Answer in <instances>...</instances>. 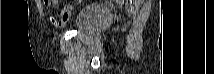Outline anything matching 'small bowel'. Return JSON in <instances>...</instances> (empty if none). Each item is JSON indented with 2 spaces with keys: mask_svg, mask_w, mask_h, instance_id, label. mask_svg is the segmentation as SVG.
<instances>
[{
  "mask_svg": "<svg viewBox=\"0 0 214 74\" xmlns=\"http://www.w3.org/2000/svg\"><path fill=\"white\" fill-rule=\"evenodd\" d=\"M51 3H56V1H43V6L48 8ZM72 6L67 5L61 11L58 12L57 16H50L49 20L52 25L56 27H63L70 18Z\"/></svg>",
  "mask_w": 214,
  "mask_h": 74,
  "instance_id": "c3829d8e",
  "label": "small bowel"
}]
</instances>
